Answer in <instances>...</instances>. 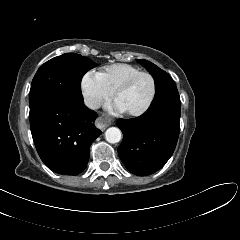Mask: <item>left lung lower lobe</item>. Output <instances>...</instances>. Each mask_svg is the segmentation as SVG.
I'll return each mask as SVG.
<instances>
[{"label":"left lung lower lobe","mask_w":240,"mask_h":240,"mask_svg":"<svg viewBox=\"0 0 240 240\" xmlns=\"http://www.w3.org/2000/svg\"><path fill=\"white\" fill-rule=\"evenodd\" d=\"M180 114V104L161 103L141 117L118 120L123 132L118 155L131 173L147 176L166 164L178 140Z\"/></svg>","instance_id":"obj_1"}]
</instances>
